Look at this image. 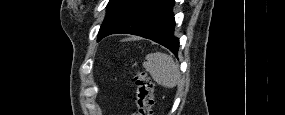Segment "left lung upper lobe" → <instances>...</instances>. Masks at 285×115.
Instances as JSON below:
<instances>
[{
    "label": "left lung upper lobe",
    "instance_id": "1",
    "mask_svg": "<svg viewBox=\"0 0 285 115\" xmlns=\"http://www.w3.org/2000/svg\"><path fill=\"white\" fill-rule=\"evenodd\" d=\"M130 0H110L107 5V14L106 17L100 27L99 33H98V39L102 35L106 25L108 22L113 18V16L121 10Z\"/></svg>",
    "mask_w": 285,
    "mask_h": 115
}]
</instances>
